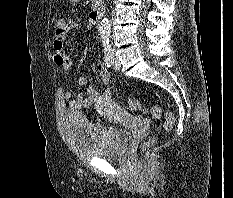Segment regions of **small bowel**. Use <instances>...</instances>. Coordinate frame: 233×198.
<instances>
[{
	"label": "small bowel",
	"instance_id": "small-bowel-1",
	"mask_svg": "<svg viewBox=\"0 0 233 198\" xmlns=\"http://www.w3.org/2000/svg\"><path fill=\"white\" fill-rule=\"evenodd\" d=\"M78 29H80L79 23L75 21H64L63 31L61 33L55 32L54 34L53 61L55 65L61 67L65 72H71L74 66L73 60L66 54L64 49L65 37L70 31ZM97 70L102 84L106 86L110 81L109 72L106 70L103 64H98ZM78 83L86 88V92L84 94H79L76 98H74L71 92H66L64 94V98L68 102V106L71 111H77L81 108L90 107L92 105H97L104 113H112L113 111L117 110V106L111 99L110 89L104 88L103 90L99 91L90 85L89 80L84 76L78 79Z\"/></svg>",
	"mask_w": 233,
	"mask_h": 198
}]
</instances>
